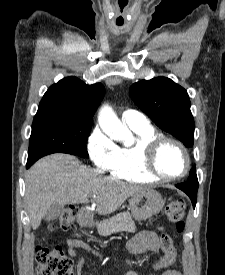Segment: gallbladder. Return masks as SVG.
<instances>
[{"label":"gallbladder","instance_id":"gallbladder-1","mask_svg":"<svg viewBox=\"0 0 225 275\" xmlns=\"http://www.w3.org/2000/svg\"><path fill=\"white\" fill-rule=\"evenodd\" d=\"M64 211V205L53 203L47 212L44 214L43 218L46 221H52L60 216V214Z\"/></svg>","mask_w":225,"mask_h":275}]
</instances>
